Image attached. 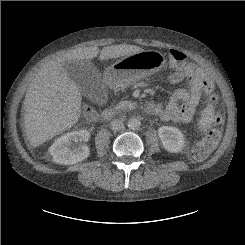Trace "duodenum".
<instances>
[{
  "instance_id": "obj_1",
  "label": "duodenum",
  "mask_w": 245,
  "mask_h": 245,
  "mask_svg": "<svg viewBox=\"0 0 245 245\" xmlns=\"http://www.w3.org/2000/svg\"><path fill=\"white\" fill-rule=\"evenodd\" d=\"M115 83H116L115 79L108 80L109 85H114ZM146 107H147V110H153L155 108V104L152 102H148ZM117 116H118V112L113 109H105L102 113V118L104 120H112V119L117 118Z\"/></svg>"
}]
</instances>
